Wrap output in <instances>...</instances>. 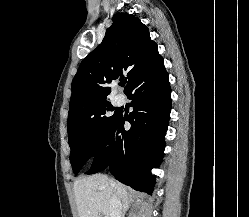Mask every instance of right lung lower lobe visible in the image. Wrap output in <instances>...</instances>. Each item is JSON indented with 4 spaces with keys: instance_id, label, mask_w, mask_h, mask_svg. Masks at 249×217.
<instances>
[{
    "instance_id": "98d812e1",
    "label": "right lung lower lobe",
    "mask_w": 249,
    "mask_h": 217,
    "mask_svg": "<svg viewBox=\"0 0 249 217\" xmlns=\"http://www.w3.org/2000/svg\"><path fill=\"white\" fill-rule=\"evenodd\" d=\"M125 94L134 111L128 116L120 114L87 174L109 168L118 181L152 194L155 178L150 170L161 163L171 111V88L161 55ZM125 121L131 124L128 131Z\"/></svg>"
}]
</instances>
